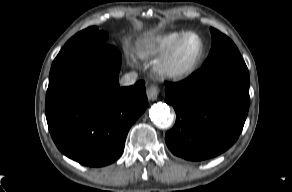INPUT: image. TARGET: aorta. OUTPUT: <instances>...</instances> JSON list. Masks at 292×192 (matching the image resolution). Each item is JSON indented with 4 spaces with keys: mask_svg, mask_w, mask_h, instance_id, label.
<instances>
[{
    "mask_svg": "<svg viewBox=\"0 0 292 192\" xmlns=\"http://www.w3.org/2000/svg\"><path fill=\"white\" fill-rule=\"evenodd\" d=\"M170 108L165 103H156L149 110L151 121L159 128H168L172 124Z\"/></svg>",
    "mask_w": 292,
    "mask_h": 192,
    "instance_id": "aorta-1",
    "label": "aorta"
}]
</instances>
